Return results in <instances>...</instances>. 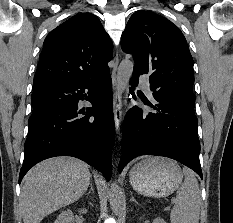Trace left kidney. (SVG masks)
I'll use <instances>...</instances> for the list:
<instances>
[{
    "label": "left kidney",
    "mask_w": 233,
    "mask_h": 223,
    "mask_svg": "<svg viewBox=\"0 0 233 223\" xmlns=\"http://www.w3.org/2000/svg\"><path fill=\"white\" fill-rule=\"evenodd\" d=\"M152 223H166V221H164V219H162V217H155V219H153Z\"/></svg>",
    "instance_id": "obj_1"
}]
</instances>
